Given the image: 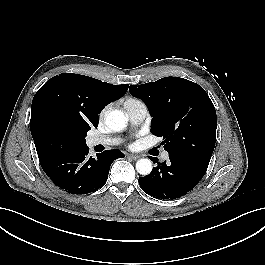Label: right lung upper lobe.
Listing matches in <instances>:
<instances>
[{
    "label": "right lung upper lobe",
    "mask_w": 265,
    "mask_h": 265,
    "mask_svg": "<svg viewBox=\"0 0 265 265\" xmlns=\"http://www.w3.org/2000/svg\"><path fill=\"white\" fill-rule=\"evenodd\" d=\"M84 75L63 73L48 80L35 94L30 128L42 114H52L78 133L97 127L98 114L128 90Z\"/></svg>",
    "instance_id": "obj_1"
}]
</instances>
